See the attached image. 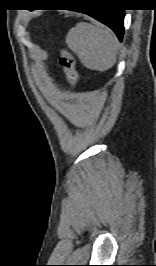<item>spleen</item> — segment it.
<instances>
[{
    "instance_id": "3e777b00",
    "label": "spleen",
    "mask_w": 156,
    "mask_h": 266,
    "mask_svg": "<svg viewBox=\"0 0 156 266\" xmlns=\"http://www.w3.org/2000/svg\"><path fill=\"white\" fill-rule=\"evenodd\" d=\"M66 43L88 69L107 71L114 66L118 41L113 32L101 24L77 23L66 36Z\"/></svg>"
}]
</instances>
